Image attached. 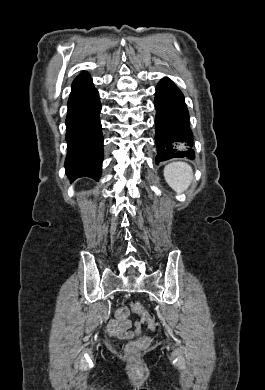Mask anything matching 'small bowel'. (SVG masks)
Returning <instances> with one entry per match:
<instances>
[{"mask_svg":"<svg viewBox=\"0 0 265 390\" xmlns=\"http://www.w3.org/2000/svg\"><path fill=\"white\" fill-rule=\"evenodd\" d=\"M131 322L128 319H113L108 322L107 329L109 333L113 335H119L124 337H131L134 333H137L141 327V323L137 321L135 323V330L130 331Z\"/></svg>","mask_w":265,"mask_h":390,"instance_id":"obj_1","label":"small bowel"}]
</instances>
